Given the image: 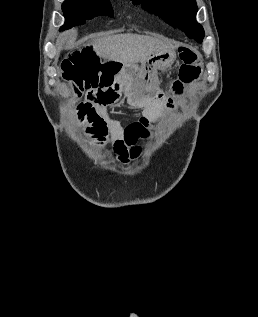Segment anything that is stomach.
Returning <instances> with one entry per match:
<instances>
[{
    "mask_svg": "<svg viewBox=\"0 0 258 317\" xmlns=\"http://www.w3.org/2000/svg\"><path fill=\"white\" fill-rule=\"evenodd\" d=\"M176 48L172 50H158V52H152L149 54L146 60H140L141 64H124V68L135 72L136 76H141L143 82H146L150 74H156L157 70H166L169 66H172L176 60Z\"/></svg>",
    "mask_w": 258,
    "mask_h": 317,
    "instance_id": "1",
    "label": "stomach"
}]
</instances>
